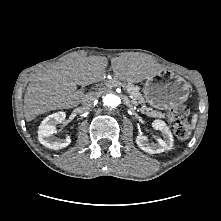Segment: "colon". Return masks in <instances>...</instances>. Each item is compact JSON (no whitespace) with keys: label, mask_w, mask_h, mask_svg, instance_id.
<instances>
[{"label":"colon","mask_w":221,"mask_h":221,"mask_svg":"<svg viewBox=\"0 0 221 221\" xmlns=\"http://www.w3.org/2000/svg\"><path fill=\"white\" fill-rule=\"evenodd\" d=\"M190 109L188 106L183 105L173 109L169 113V122L175 136L180 140H185L189 137L188 116Z\"/></svg>","instance_id":"5ec220e1"}]
</instances>
